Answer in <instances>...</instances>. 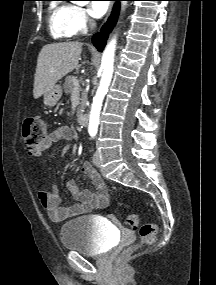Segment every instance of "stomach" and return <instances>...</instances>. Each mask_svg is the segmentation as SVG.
Here are the masks:
<instances>
[{
  "label": "stomach",
  "mask_w": 216,
  "mask_h": 285,
  "mask_svg": "<svg viewBox=\"0 0 216 285\" xmlns=\"http://www.w3.org/2000/svg\"><path fill=\"white\" fill-rule=\"evenodd\" d=\"M62 96V87L55 84L50 90L43 94L44 104L48 107H53L57 104Z\"/></svg>",
  "instance_id": "stomach-1"
}]
</instances>
